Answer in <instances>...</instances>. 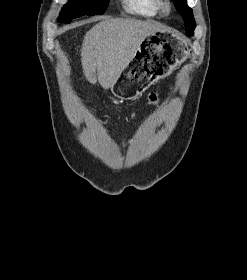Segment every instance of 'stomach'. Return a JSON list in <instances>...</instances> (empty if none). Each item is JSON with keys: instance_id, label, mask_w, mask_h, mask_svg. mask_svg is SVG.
Instances as JSON below:
<instances>
[{"instance_id": "stomach-1", "label": "stomach", "mask_w": 247, "mask_h": 280, "mask_svg": "<svg viewBox=\"0 0 247 280\" xmlns=\"http://www.w3.org/2000/svg\"><path fill=\"white\" fill-rule=\"evenodd\" d=\"M187 53V45L179 35L170 31L152 33L141 42L111 91L122 99H131L169 75Z\"/></svg>"}]
</instances>
